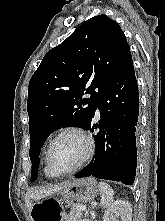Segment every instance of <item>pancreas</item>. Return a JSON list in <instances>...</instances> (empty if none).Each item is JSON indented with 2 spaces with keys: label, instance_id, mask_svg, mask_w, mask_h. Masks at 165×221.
Instances as JSON below:
<instances>
[{
  "label": "pancreas",
  "instance_id": "1",
  "mask_svg": "<svg viewBox=\"0 0 165 221\" xmlns=\"http://www.w3.org/2000/svg\"><path fill=\"white\" fill-rule=\"evenodd\" d=\"M82 215L79 205H73L70 213L66 216V221H81Z\"/></svg>",
  "mask_w": 165,
  "mask_h": 221
}]
</instances>
